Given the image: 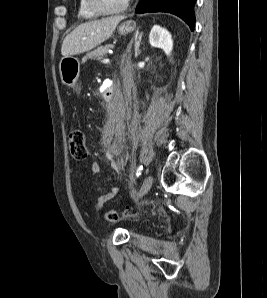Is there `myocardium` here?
Instances as JSON below:
<instances>
[{
	"instance_id": "myocardium-1",
	"label": "myocardium",
	"mask_w": 267,
	"mask_h": 298,
	"mask_svg": "<svg viewBox=\"0 0 267 298\" xmlns=\"http://www.w3.org/2000/svg\"><path fill=\"white\" fill-rule=\"evenodd\" d=\"M86 2L88 8L98 16H112L121 14L125 12L130 5V0H126L120 8L109 11L101 6L99 0H86Z\"/></svg>"
}]
</instances>
